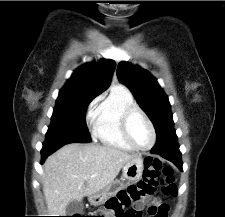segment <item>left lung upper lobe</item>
<instances>
[{"mask_svg":"<svg viewBox=\"0 0 225 217\" xmlns=\"http://www.w3.org/2000/svg\"><path fill=\"white\" fill-rule=\"evenodd\" d=\"M117 75L120 82L131 90L140 107L154 124L157 140L151 151L157 152L178 146L170 103L157 80L146 70L128 62L118 64Z\"/></svg>","mask_w":225,"mask_h":217,"instance_id":"1","label":"left lung upper lobe"}]
</instances>
